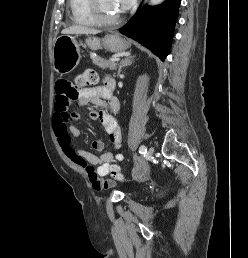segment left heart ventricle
Masks as SVG:
<instances>
[{
    "instance_id": "1",
    "label": "left heart ventricle",
    "mask_w": 248,
    "mask_h": 258,
    "mask_svg": "<svg viewBox=\"0 0 248 258\" xmlns=\"http://www.w3.org/2000/svg\"><path fill=\"white\" fill-rule=\"evenodd\" d=\"M99 7L104 17L117 18L120 15L114 0H100Z\"/></svg>"
}]
</instances>
